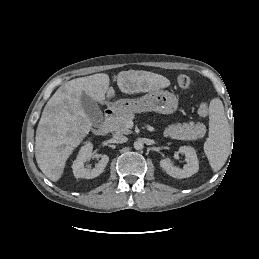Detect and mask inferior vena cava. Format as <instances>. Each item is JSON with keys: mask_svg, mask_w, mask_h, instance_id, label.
I'll use <instances>...</instances> for the list:
<instances>
[{"mask_svg": "<svg viewBox=\"0 0 259 259\" xmlns=\"http://www.w3.org/2000/svg\"><path fill=\"white\" fill-rule=\"evenodd\" d=\"M127 140H128V138L126 136H123V135H115L112 138V141L114 143H125Z\"/></svg>", "mask_w": 259, "mask_h": 259, "instance_id": "1", "label": "inferior vena cava"}]
</instances>
